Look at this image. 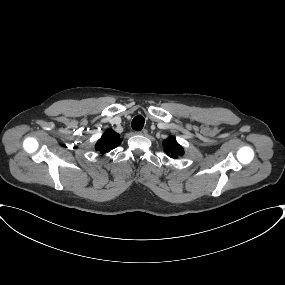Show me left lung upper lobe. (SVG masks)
I'll use <instances>...</instances> for the list:
<instances>
[{
    "label": "left lung upper lobe",
    "instance_id": "obj_1",
    "mask_svg": "<svg viewBox=\"0 0 285 285\" xmlns=\"http://www.w3.org/2000/svg\"><path fill=\"white\" fill-rule=\"evenodd\" d=\"M164 150L170 157L177 158L184 154L183 148L177 143L174 137H168L163 141Z\"/></svg>",
    "mask_w": 285,
    "mask_h": 285
}]
</instances>
